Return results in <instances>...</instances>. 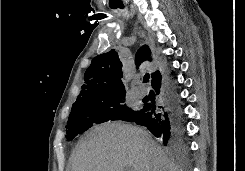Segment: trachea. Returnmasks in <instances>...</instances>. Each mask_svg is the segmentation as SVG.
<instances>
[{
	"instance_id": "1",
	"label": "trachea",
	"mask_w": 245,
	"mask_h": 171,
	"mask_svg": "<svg viewBox=\"0 0 245 171\" xmlns=\"http://www.w3.org/2000/svg\"><path fill=\"white\" fill-rule=\"evenodd\" d=\"M116 1H120V0H116ZM123 4L120 2V3H117L113 6V9H116V8H123ZM143 81L144 82H148L149 81V74H146L144 77H143Z\"/></svg>"
}]
</instances>
